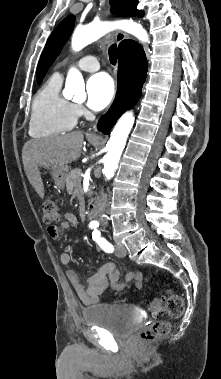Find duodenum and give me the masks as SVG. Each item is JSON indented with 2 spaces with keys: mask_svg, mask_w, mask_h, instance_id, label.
<instances>
[{
  "mask_svg": "<svg viewBox=\"0 0 221 379\" xmlns=\"http://www.w3.org/2000/svg\"><path fill=\"white\" fill-rule=\"evenodd\" d=\"M98 212H99V202L98 200H93L88 206L87 216L89 219H93L97 216Z\"/></svg>",
  "mask_w": 221,
  "mask_h": 379,
  "instance_id": "duodenum-1",
  "label": "duodenum"
}]
</instances>
